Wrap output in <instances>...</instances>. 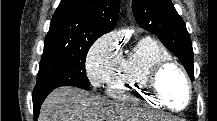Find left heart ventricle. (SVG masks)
Returning <instances> with one entry per match:
<instances>
[{
    "label": "left heart ventricle",
    "instance_id": "b2bd125f",
    "mask_svg": "<svg viewBox=\"0 0 217 121\" xmlns=\"http://www.w3.org/2000/svg\"><path fill=\"white\" fill-rule=\"evenodd\" d=\"M163 97L174 107L181 108L187 100V89L181 75L174 69L167 70L159 80Z\"/></svg>",
    "mask_w": 217,
    "mask_h": 121
}]
</instances>
